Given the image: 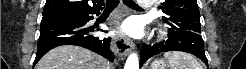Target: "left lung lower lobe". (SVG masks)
Returning a JSON list of instances; mask_svg holds the SVG:
<instances>
[{
	"label": "left lung lower lobe",
	"instance_id": "1",
	"mask_svg": "<svg viewBox=\"0 0 246 69\" xmlns=\"http://www.w3.org/2000/svg\"><path fill=\"white\" fill-rule=\"evenodd\" d=\"M169 38L165 42L154 45L144 44L141 49V65L150 57L167 51H184L200 58L207 66L204 42L200 34L190 31L169 30Z\"/></svg>",
	"mask_w": 246,
	"mask_h": 69
}]
</instances>
